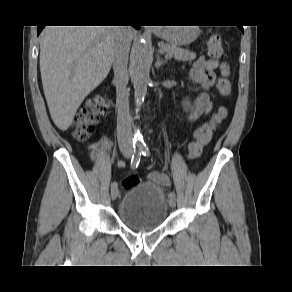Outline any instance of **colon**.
Returning a JSON list of instances; mask_svg holds the SVG:
<instances>
[{"label": "colon", "mask_w": 292, "mask_h": 292, "mask_svg": "<svg viewBox=\"0 0 292 292\" xmlns=\"http://www.w3.org/2000/svg\"><path fill=\"white\" fill-rule=\"evenodd\" d=\"M209 56L215 60L225 58V50L223 47L221 36L218 33L211 35L208 40ZM218 92L228 97L231 94V84L227 78H219L216 84ZM111 105L110 100L102 95H97L87 101L77 115L73 125V137L78 141L87 140L94 131L99 117L104 115ZM228 116V110L220 107L211 117L210 120L201 125L194 134L195 140L190 143L188 148L189 158H198L202 155L204 147L209 144L212 139L216 126ZM140 183L137 175H130L122 181L124 189L131 188Z\"/></svg>", "instance_id": "5ec220e1"}]
</instances>
